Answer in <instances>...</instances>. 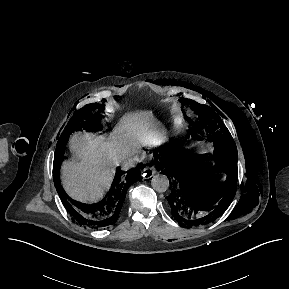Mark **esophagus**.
I'll return each mask as SVG.
<instances>
[{
  "label": "esophagus",
  "instance_id": "esophagus-1",
  "mask_svg": "<svg viewBox=\"0 0 289 289\" xmlns=\"http://www.w3.org/2000/svg\"><path fill=\"white\" fill-rule=\"evenodd\" d=\"M155 173H156V169H155L154 166H147V167L144 169L143 177H144L145 179H150Z\"/></svg>",
  "mask_w": 289,
  "mask_h": 289
}]
</instances>
